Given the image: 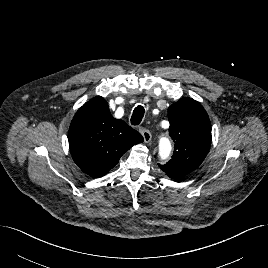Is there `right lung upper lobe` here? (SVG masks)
Here are the masks:
<instances>
[{
  "mask_svg": "<svg viewBox=\"0 0 268 268\" xmlns=\"http://www.w3.org/2000/svg\"><path fill=\"white\" fill-rule=\"evenodd\" d=\"M143 140L139 132L111 115L101 96L92 98L77 111L68 132L75 163L95 178L106 175L127 150Z\"/></svg>",
  "mask_w": 268,
  "mask_h": 268,
  "instance_id": "1",
  "label": "right lung upper lobe"
}]
</instances>
